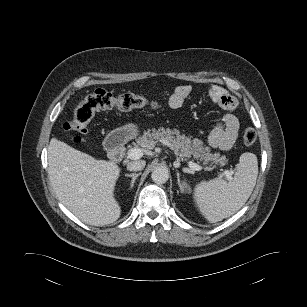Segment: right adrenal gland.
Listing matches in <instances>:
<instances>
[{
	"label": "right adrenal gland",
	"instance_id": "1",
	"mask_svg": "<svg viewBox=\"0 0 307 307\" xmlns=\"http://www.w3.org/2000/svg\"><path fill=\"white\" fill-rule=\"evenodd\" d=\"M141 173H131V174H125L126 177H131V188H133L135 180L138 178V176H140Z\"/></svg>",
	"mask_w": 307,
	"mask_h": 307
}]
</instances>
